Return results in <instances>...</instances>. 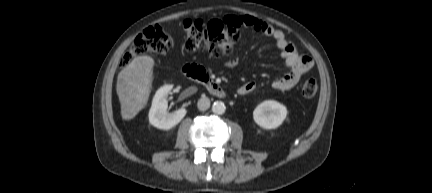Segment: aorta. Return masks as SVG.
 Here are the masks:
<instances>
[{
  "mask_svg": "<svg viewBox=\"0 0 432 193\" xmlns=\"http://www.w3.org/2000/svg\"><path fill=\"white\" fill-rule=\"evenodd\" d=\"M225 110H226V106L221 101H216L212 105V111L215 114L222 115L225 113Z\"/></svg>",
  "mask_w": 432,
  "mask_h": 193,
  "instance_id": "1",
  "label": "aorta"
}]
</instances>
